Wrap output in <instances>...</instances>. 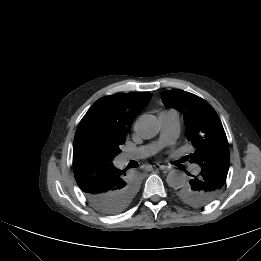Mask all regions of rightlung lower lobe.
<instances>
[{
	"mask_svg": "<svg viewBox=\"0 0 261 261\" xmlns=\"http://www.w3.org/2000/svg\"><path fill=\"white\" fill-rule=\"evenodd\" d=\"M73 171L78 186L97 211L114 215L130 205L125 202V189L132 180L112 161L77 159L73 161Z\"/></svg>",
	"mask_w": 261,
	"mask_h": 261,
	"instance_id": "1",
	"label": "right lung lower lobe"
}]
</instances>
